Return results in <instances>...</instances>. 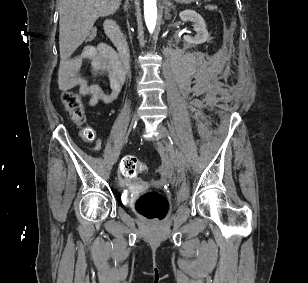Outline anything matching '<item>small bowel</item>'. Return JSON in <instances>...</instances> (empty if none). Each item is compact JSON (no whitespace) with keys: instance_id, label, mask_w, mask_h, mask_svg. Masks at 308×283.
Masks as SVG:
<instances>
[{"instance_id":"obj_1","label":"small bowel","mask_w":308,"mask_h":283,"mask_svg":"<svg viewBox=\"0 0 308 283\" xmlns=\"http://www.w3.org/2000/svg\"><path fill=\"white\" fill-rule=\"evenodd\" d=\"M90 61L95 74L105 73L109 79L110 92L106 93L97 84H90L80 76L84 61ZM62 72L69 79L70 84L77 87L80 94L89 98L90 105L110 104L120 95L124 81L123 71L119 58L111 46L99 43L96 46H86L80 55L67 60L62 65ZM101 149V140L94 139V150Z\"/></svg>"}]
</instances>
